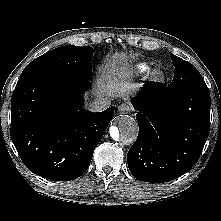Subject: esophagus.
Wrapping results in <instances>:
<instances>
[{"label":"esophagus","mask_w":221,"mask_h":221,"mask_svg":"<svg viewBox=\"0 0 221 221\" xmlns=\"http://www.w3.org/2000/svg\"><path fill=\"white\" fill-rule=\"evenodd\" d=\"M132 110V107L129 104L122 103L118 106V111L121 114H127Z\"/></svg>","instance_id":"esophagus-1"}]
</instances>
